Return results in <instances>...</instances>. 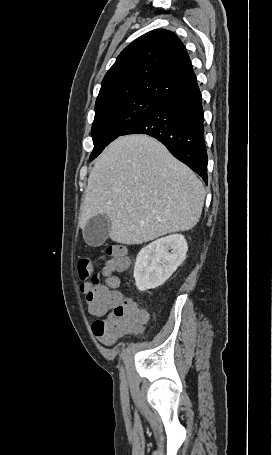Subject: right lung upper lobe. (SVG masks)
<instances>
[{"label":"right lung upper lobe","instance_id":"right-lung-upper-lobe-1","mask_svg":"<svg viewBox=\"0 0 272 455\" xmlns=\"http://www.w3.org/2000/svg\"><path fill=\"white\" fill-rule=\"evenodd\" d=\"M196 82L186 48L177 35L153 30L120 53L102 81L95 107L136 96L165 100Z\"/></svg>","mask_w":272,"mask_h":455}]
</instances>
